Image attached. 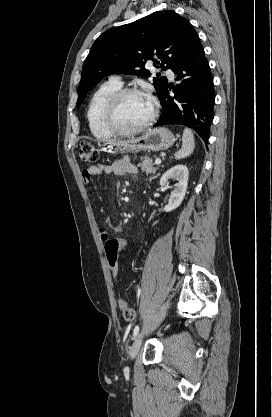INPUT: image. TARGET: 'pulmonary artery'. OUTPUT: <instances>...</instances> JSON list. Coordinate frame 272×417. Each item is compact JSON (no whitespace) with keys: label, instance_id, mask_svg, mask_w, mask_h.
Here are the masks:
<instances>
[{"label":"pulmonary artery","instance_id":"e3ab8cb5","mask_svg":"<svg viewBox=\"0 0 272 417\" xmlns=\"http://www.w3.org/2000/svg\"><path fill=\"white\" fill-rule=\"evenodd\" d=\"M167 74H168V76L171 78V79H173L174 78V73H173V71H171V70H168L167 71ZM115 80H117V81H119V82H121V80H120V78L119 77H116V78H114Z\"/></svg>","mask_w":272,"mask_h":417}]
</instances>
